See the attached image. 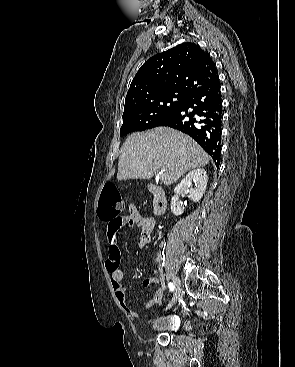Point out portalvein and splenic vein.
I'll use <instances>...</instances> for the list:
<instances>
[{
  "mask_svg": "<svg viewBox=\"0 0 295 367\" xmlns=\"http://www.w3.org/2000/svg\"><path fill=\"white\" fill-rule=\"evenodd\" d=\"M158 176H159V178H160V180H164L165 178H166V173H165V171H160L159 173H158Z\"/></svg>",
  "mask_w": 295,
  "mask_h": 367,
  "instance_id": "obj_1",
  "label": "portal vein and splenic vein"
}]
</instances>
